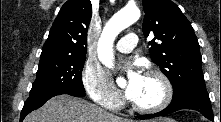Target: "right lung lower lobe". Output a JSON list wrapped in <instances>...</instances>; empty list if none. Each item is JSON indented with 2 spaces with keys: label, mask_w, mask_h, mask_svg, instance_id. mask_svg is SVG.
I'll list each match as a JSON object with an SVG mask.
<instances>
[{
  "label": "right lung lower lobe",
  "mask_w": 221,
  "mask_h": 122,
  "mask_svg": "<svg viewBox=\"0 0 221 122\" xmlns=\"http://www.w3.org/2000/svg\"><path fill=\"white\" fill-rule=\"evenodd\" d=\"M60 94H69L72 96L83 97L85 96V92L76 91L73 89H55L48 92L38 93V94H30L29 98L25 101L24 107L21 112L20 122L33 110L41 107L47 100L51 97Z\"/></svg>",
  "instance_id": "98d812e1"
}]
</instances>
